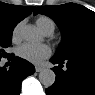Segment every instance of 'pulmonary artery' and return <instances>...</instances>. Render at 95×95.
<instances>
[{
  "mask_svg": "<svg viewBox=\"0 0 95 95\" xmlns=\"http://www.w3.org/2000/svg\"><path fill=\"white\" fill-rule=\"evenodd\" d=\"M52 33L51 31L45 32L46 35H51Z\"/></svg>",
  "mask_w": 95,
  "mask_h": 95,
  "instance_id": "pulmonary-artery-1",
  "label": "pulmonary artery"
}]
</instances>
